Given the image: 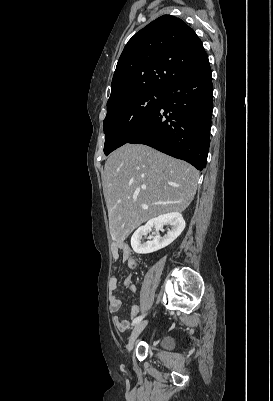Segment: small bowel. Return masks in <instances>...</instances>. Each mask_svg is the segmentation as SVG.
<instances>
[{"label": "small bowel", "instance_id": "obj_1", "mask_svg": "<svg viewBox=\"0 0 273 401\" xmlns=\"http://www.w3.org/2000/svg\"><path fill=\"white\" fill-rule=\"evenodd\" d=\"M132 249L125 242H115L112 245V257L114 262L116 263L120 258L121 260L127 264L129 268H134L137 266L136 260L132 256ZM117 271V265L113 266V274L109 279V289L111 292L110 297V311L113 314H117L122 306L121 299L116 295V292L119 288L118 279L115 275ZM124 287H133L134 279L130 277H126L123 279ZM137 291V290H136ZM131 291V292H136ZM141 303L140 305H133L130 309L129 317L132 321L138 319L141 313V306L144 304H154L155 297L154 295H149L148 291L143 290L140 293ZM113 325L120 332H126L131 328V323L128 319L120 318L118 315H114L113 317Z\"/></svg>", "mask_w": 273, "mask_h": 401}]
</instances>
